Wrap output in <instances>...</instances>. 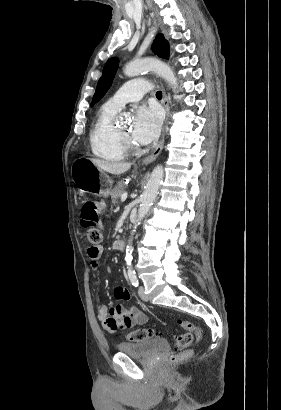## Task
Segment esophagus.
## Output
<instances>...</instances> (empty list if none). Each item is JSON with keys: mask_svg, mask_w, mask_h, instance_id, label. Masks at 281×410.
<instances>
[{"mask_svg": "<svg viewBox=\"0 0 281 410\" xmlns=\"http://www.w3.org/2000/svg\"><path fill=\"white\" fill-rule=\"evenodd\" d=\"M163 106H164V109H165V112H166V120H165V125H164L162 136H161L160 141L158 142L157 146L153 150V152L149 156L144 158V160L142 161V165H148L151 162H153L158 157V155L160 154V152L162 151L163 146H164L165 129H166L169 117H170L169 102H168V98H167V95H166V92H165L164 88H163Z\"/></svg>", "mask_w": 281, "mask_h": 410, "instance_id": "1", "label": "esophagus"}]
</instances>
